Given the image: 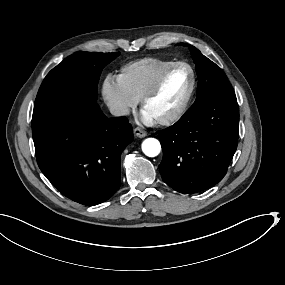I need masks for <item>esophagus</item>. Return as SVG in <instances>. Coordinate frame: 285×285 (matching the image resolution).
Returning <instances> with one entry per match:
<instances>
[{
	"label": "esophagus",
	"instance_id": "34e87169",
	"mask_svg": "<svg viewBox=\"0 0 285 285\" xmlns=\"http://www.w3.org/2000/svg\"><path fill=\"white\" fill-rule=\"evenodd\" d=\"M134 134L139 138H143V137L147 136V132L144 131L143 129L139 128V127H136L134 129Z\"/></svg>",
	"mask_w": 285,
	"mask_h": 285
}]
</instances>
